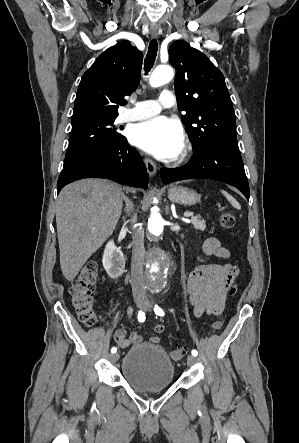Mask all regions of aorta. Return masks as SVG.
I'll list each match as a JSON object with an SVG mask.
<instances>
[{
    "instance_id": "aorta-1",
    "label": "aorta",
    "mask_w": 299,
    "mask_h": 443,
    "mask_svg": "<svg viewBox=\"0 0 299 443\" xmlns=\"http://www.w3.org/2000/svg\"><path fill=\"white\" fill-rule=\"evenodd\" d=\"M173 69L170 66H158L150 77V85L159 87L172 80ZM165 231L164 221L157 208L151 210L148 219L147 234L154 239L163 236ZM163 255L159 252H152L147 257L148 285L150 294L155 296L160 289L162 279Z\"/></svg>"
}]
</instances>
